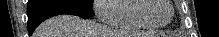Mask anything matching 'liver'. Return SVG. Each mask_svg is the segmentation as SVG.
Wrapping results in <instances>:
<instances>
[{"instance_id": "obj_1", "label": "liver", "mask_w": 219, "mask_h": 37, "mask_svg": "<svg viewBox=\"0 0 219 37\" xmlns=\"http://www.w3.org/2000/svg\"><path fill=\"white\" fill-rule=\"evenodd\" d=\"M96 23L74 15H58L41 23L33 37H98L94 30ZM108 35H127L125 33H110ZM126 37V36H105Z\"/></svg>"}]
</instances>
